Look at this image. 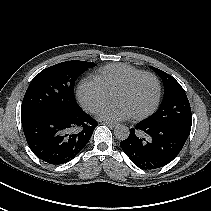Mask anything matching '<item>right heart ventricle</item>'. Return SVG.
Returning <instances> with one entry per match:
<instances>
[{"instance_id": "1", "label": "right heart ventricle", "mask_w": 211, "mask_h": 211, "mask_svg": "<svg viewBox=\"0 0 211 211\" xmlns=\"http://www.w3.org/2000/svg\"><path fill=\"white\" fill-rule=\"evenodd\" d=\"M144 73L143 70L126 64H110L99 69L95 78L109 94L130 78Z\"/></svg>"}]
</instances>
